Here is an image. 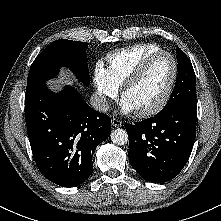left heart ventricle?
<instances>
[{
    "mask_svg": "<svg viewBox=\"0 0 221 221\" xmlns=\"http://www.w3.org/2000/svg\"><path fill=\"white\" fill-rule=\"evenodd\" d=\"M173 73V65L167 56L155 59L126 91V99L135 110H143L156 104L164 94Z\"/></svg>",
    "mask_w": 221,
    "mask_h": 221,
    "instance_id": "left-heart-ventricle-1",
    "label": "left heart ventricle"
}]
</instances>
